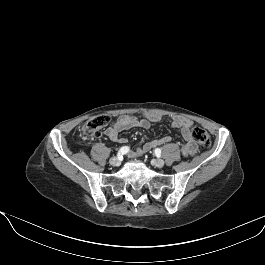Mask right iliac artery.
Segmentation results:
<instances>
[{
    "label": "right iliac artery",
    "mask_w": 265,
    "mask_h": 265,
    "mask_svg": "<svg viewBox=\"0 0 265 265\" xmlns=\"http://www.w3.org/2000/svg\"><path fill=\"white\" fill-rule=\"evenodd\" d=\"M129 151V147L123 146L120 148V150L117 153L118 157H122L124 154H126Z\"/></svg>",
    "instance_id": "right-iliac-artery-1"
}]
</instances>
